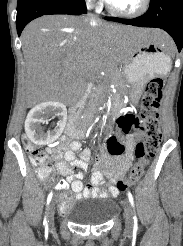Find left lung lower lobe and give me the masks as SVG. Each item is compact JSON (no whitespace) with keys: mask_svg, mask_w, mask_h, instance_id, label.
<instances>
[{"mask_svg":"<svg viewBox=\"0 0 183 246\" xmlns=\"http://www.w3.org/2000/svg\"><path fill=\"white\" fill-rule=\"evenodd\" d=\"M105 19L138 27L161 28L171 35L179 52L183 47V0H151L148 11L140 17Z\"/></svg>","mask_w":183,"mask_h":246,"instance_id":"1","label":"left lung lower lobe"}]
</instances>
